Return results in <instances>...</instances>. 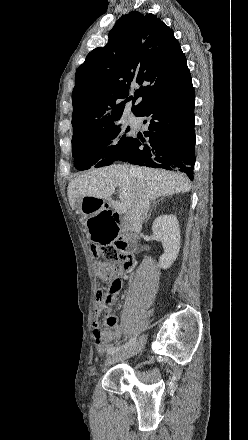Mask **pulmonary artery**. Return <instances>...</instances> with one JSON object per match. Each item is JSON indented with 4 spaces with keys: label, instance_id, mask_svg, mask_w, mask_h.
I'll list each match as a JSON object with an SVG mask.
<instances>
[{
    "label": "pulmonary artery",
    "instance_id": "e3ab8cb5",
    "mask_svg": "<svg viewBox=\"0 0 248 440\" xmlns=\"http://www.w3.org/2000/svg\"><path fill=\"white\" fill-rule=\"evenodd\" d=\"M135 119H136V118H135V116H134V115H132V114H131V115H129V117H128V120H129V122H130V123L134 122V121H135Z\"/></svg>",
    "mask_w": 248,
    "mask_h": 440
}]
</instances>
